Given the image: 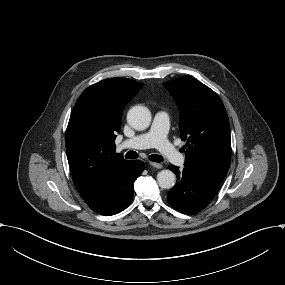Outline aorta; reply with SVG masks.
I'll return each instance as SVG.
<instances>
[{
    "mask_svg": "<svg viewBox=\"0 0 285 285\" xmlns=\"http://www.w3.org/2000/svg\"><path fill=\"white\" fill-rule=\"evenodd\" d=\"M151 112L144 106H134L127 114V122L136 130H144L151 123ZM176 176L170 170H162L157 174V181L161 188L171 189L175 185Z\"/></svg>",
    "mask_w": 285,
    "mask_h": 285,
    "instance_id": "762f6f07",
    "label": "aorta"
}]
</instances>
